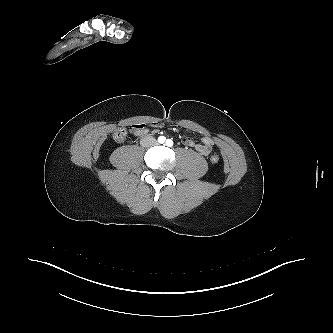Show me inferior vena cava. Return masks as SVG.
<instances>
[{"label":"inferior vena cava","instance_id":"602c4592","mask_svg":"<svg viewBox=\"0 0 333 333\" xmlns=\"http://www.w3.org/2000/svg\"><path fill=\"white\" fill-rule=\"evenodd\" d=\"M156 143V139L154 137L148 136V137H144L140 140V144L143 147H147V146H151L153 144Z\"/></svg>","mask_w":333,"mask_h":333}]
</instances>
